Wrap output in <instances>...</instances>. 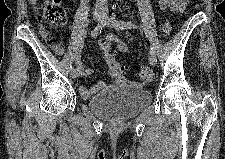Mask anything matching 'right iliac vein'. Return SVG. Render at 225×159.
Returning <instances> with one entry per match:
<instances>
[{"mask_svg":"<svg viewBox=\"0 0 225 159\" xmlns=\"http://www.w3.org/2000/svg\"><path fill=\"white\" fill-rule=\"evenodd\" d=\"M102 18H103V12L100 9L95 10V12H94V20L96 22H101ZM78 75H79V70L78 69H73L71 71V76H72L73 79H76L78 77Z\"/></svg>","mask_w":225,"mask_h":159,"instance_id":"1","label":"right iliac vein"}]
</instances>
